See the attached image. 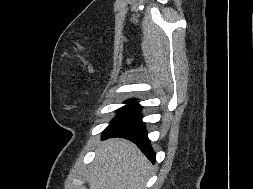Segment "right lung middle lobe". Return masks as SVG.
Here are the masks:
<instances>
[{"mask_svg": "<svg viewBox=\"0 0 253 189\" xmlns=\"http://www.w3.org/2000/svg\"><path fill=\"white\" fill-rule=\"evenodd\" d=\"M134 102H136V99H132V100H128V101H127V103H129V104H130V103H134ZM125 107H126V106H125ZM123 108H124V107H123ZM123 108H121V109H123Z\"/></svg>", "mask_w": 253, "mask_h": 189, "instance_id": "dd1d6c3e", "label": "right lung middle lobe"}]
</instances>
